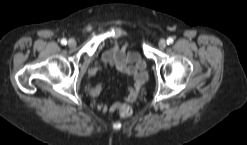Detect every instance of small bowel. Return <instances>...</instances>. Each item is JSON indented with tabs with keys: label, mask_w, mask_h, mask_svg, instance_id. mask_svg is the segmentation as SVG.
<instances>
[{
	"label": "small bowel",
	"mask_w": 247,
	"mask_h": 145,
	"mask_svg": "<svg viewBox=\"0 0 247 145\" xmlns=\"http://www.w3.org/2000/svg\"><path fill=\"white\" fill-rule=\"evenodd\" d=\"M124 46L114 44L110 49L106 50L101 57L100 62L96 63L89 71L90 76L96 75L99 71L108 66H114L118 71L129 75L133 79V84L128 87V94L124 101H114L111 104L98 102L96 104L97 111L101 113L113 112L118 110L123 103L132 104L137 101L140 88L147 77L146 64L138 52H125ZM103 85L101 82L96 83L89 90L91 97L97 99L102 93Z\"/></svg>",
	"instance_id": "c3829d8e"
}]
</instances>
